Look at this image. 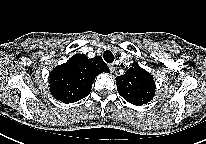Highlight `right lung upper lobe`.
<instances>
[{"instance_id":"1","label":"right lung upper lobe","mask_w":206,"mask_h":144,"mask_svg":"<svg viewBox=\"0 0 206 144\" xmlns=\"http://www.w3.org/2000/svg\"><path fill=\"white\" fill-rule=\"evenodd\" d=\"M102 72H109V68L100 56L89 59L84 54H75L50 72L51 93L64 103L79 101L89 95L93 80Z\"/></svg>"}]
</instances>
